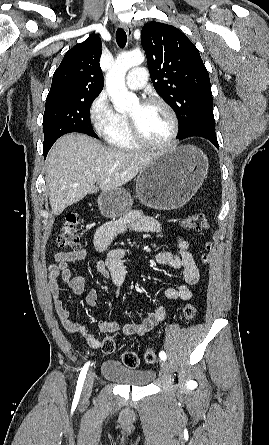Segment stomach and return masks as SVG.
<instances>
[{"instance_id":"obj_1","label":"stomach","mask_w":269,"mask_h":445,"mask_svg":"<svg viewBox=\"0 0 269 445\" xmlns=\"http://www.w3.org/2000/svg\"><path fill=\"white\" fill-rule=\"evenodd\" d=\"M208 167L207 157L194 146L166 149L139 172L136 195L149 208H181L201 187ZM131 206L129 192L120 187L102 192L98 197L99 210L106 218H120L127 214Z\"/></svg>"}]
</instances>
